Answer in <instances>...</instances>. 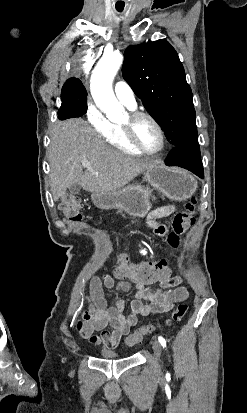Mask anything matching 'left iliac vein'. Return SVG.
<instances>
[{
	"mask_svg": "<svg viewBox=\"0 0 247 413\" xmlns=\"http://www.w3.org/2000/svg\"><path fill=\"white\" fill-rule=\"evenodd\" d=\"M151 343H152V349H153V351L156 355L157 361H158V373L161 374L162 371L160 369L159 362H160V356H161V353H162V348H161L160 343L157 340H152Z\"/></svg>",
	"mask_w": 247,
	"mask_h": 413,
	"instance_id": "obj_1",
	"label": "left iliac vein"
}]
</instances>
